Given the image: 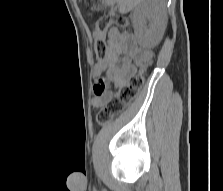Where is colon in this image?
<instances>
[{
	"mask_svg": "<svg viewBox=\"0 0 223 191\" xmlns=\"http://www.w3.org/2000/svg\"><path fill=\"white\" fill-rule=\"evenodd\" d=\"M112 23H115L121 29H127L128 21L124 17H101L96 24L94 32V47L96 52V61L93 62L94 67L93 78H101V73H106L110 69L107 60V44L106 34ZM146 67L140 68L136 75L130 77L119 91L114 94L97 114V121L105 124L112 120L115 116L122 113L127 106L136 98L143 86V74Z\"/></svg>",
	"mask_w": 223,
	"mask_h": 191,
	"instance_id": "obj_1",
	"label": "colon"
}]
</instances>
